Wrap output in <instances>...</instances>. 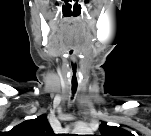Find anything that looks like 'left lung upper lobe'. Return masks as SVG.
I'll use <instances>...</instances> for the list:
<instances>
[{
  "mask_svg": "<svg viewBox=\"0 0 151 136\" xmlns=\"http://www.w3.org/2000/svg\"><path fill=\"white\" fill-rule=\"evenodd\" d=\"M99 130L103 136H119L124 133L122 129L115 126H108L106 123H102Z\"/></svg>",
  "mask_w": 151,
  "mask_h": 136,
  "instance_id": "5c2ea615",
  "label": "left lung upper lobe"
}]
</instances>
